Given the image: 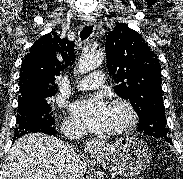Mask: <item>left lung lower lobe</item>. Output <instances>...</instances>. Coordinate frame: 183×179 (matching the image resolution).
Returning a JSON list of instances; mask_svg holds the SVG:
<instances>
[{"label":"left lung lower lobe","mask_w":183,"mask_h":179,"mask_svg":"<svg viewBox=\"0 0 183 179\" xmlns=\"http://www.w3.org/2000/svg\"><path fill=\"white\" fill-rule=\"evenodd\" d=\"M164 140L172 145V141H171V139L169 137L168 138H164Z\"/></svg>","instance_id":"1"}]
</instances>
